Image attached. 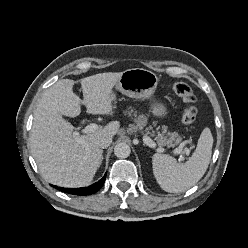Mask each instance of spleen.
<instances>
[{
	"mask_svg": "<svg viewBox=\"0 0 248 248\" xmlns=\"http://www.w3.org/2000/svg\"><path fill=\"white\" fill-rule=\"evenodd\" d=\"M213 136L209 128H205L197 143V147L184 164L177 163L169 155L153 156V173L160 187L170 193L184 192L194 186L205 174L211 160Z\"/></svg>",
	"mask_w": 248,
	"mask_h": 248,
	"instance_id": "1",
	"label": "spleen"
}]
</instances>
